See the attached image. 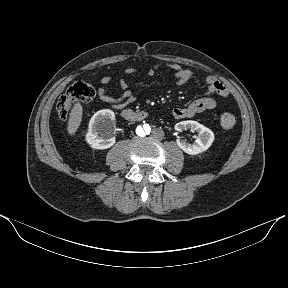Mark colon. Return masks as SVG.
Instances as JSON below:
<instances>
[{
	"label": "colon",
	"mask_w": 288,
	"mask_h": 288,
	"mask_svg": "<svg viewBox=\"0 0 288 288\" xmlns=\"http://www.w3.org/2000/svg\"><path fill=\"white\" fill-rule=\"evenodd\" d=\"M95 95L96 90L91 84L82 81L75 82L57 101L56 109L59 117L66 120L74 103L90 102ZM235 121V117L230 113H224L220 117V124L225 130H231Z\"/></svg>",
	"instance_id": "1"
}]
</instances>
